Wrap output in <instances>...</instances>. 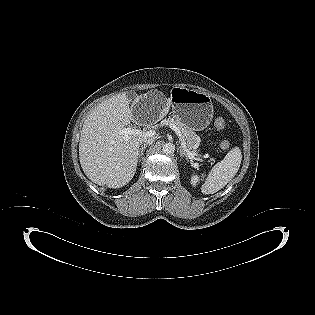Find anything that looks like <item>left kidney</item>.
Masks as SVG:
<instances>
[{"mask_svg":"<svg viewBox=\"0 0 315 315\" xmlns=\"http://www.w3.org/2000/svg\"><path fill=\"white\" fill-rule=\"evenodd\" d=\"M197 182H198V177H197V176H192V178H191V184H192L193 186H196Z\"/></svg>","mask_w":315,"mask_h":315,"instance_id":"obj_1","label":"left kidney"}]
</instances>
